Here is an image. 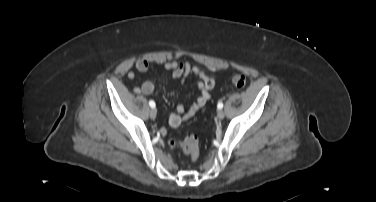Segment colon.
<instances>
[{
	"label": "colon",
	"mask_w": 376,
	"mask_h": 202,
	"mask_svg": "<svg viewBox=\"0 0 376 202\" xmlns=\"http://www.w3.org/2000/svg\"><path fill=\"white\" fill-rule=\"evenodd\" d=\"M231 82L235 87L243 88L246 84V78L241 74H234L231 77ZM170 145L181 149L190 161H197L199 157V140L197 136L190 134L181 140L173 139L170 141Z\"/></svg>",
	"instance_id": "obj_1"
}]
</instances>
